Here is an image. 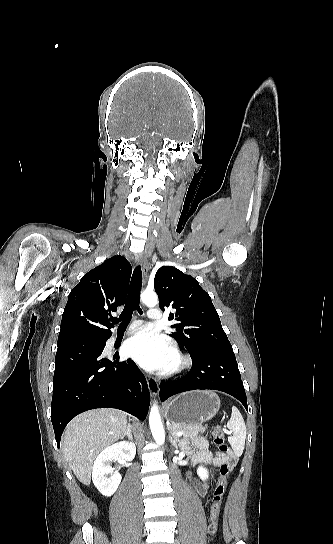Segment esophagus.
Wrapping results in <instances>:
<instances>
[{
    "label": "esophagus",
    "instance_id": "esophagus-1",
    "mask_svg": "<svg viewBox=\"0 0 333 544\" xmlns=\"http://www.w3.org/2000/svg\"><path fill=\"white\" fill-rule=\"evenodd\" d=\"M138 263L141 266L143 280H146L148 274V261L145 254L139 256ZM146 381L151 395L156 396L159 392L158 382L151 377L146 378Z\"/></svg>",
    "mask_w": 333,
    "mask_h": 544
}]
</instances>
